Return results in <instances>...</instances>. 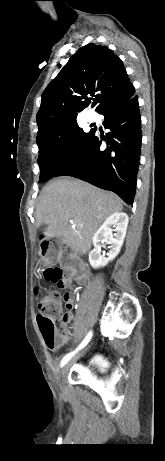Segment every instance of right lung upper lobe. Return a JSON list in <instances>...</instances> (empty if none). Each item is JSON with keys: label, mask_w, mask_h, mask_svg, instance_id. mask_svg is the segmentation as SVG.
<instances>
[{"label": "right lung upper lobe", "mask_w": 165, "mask_h": 461, "mask_svg": "<svg viewBox=\"0 0 165 461\" xmlns=\"http://www.w3.org/2000/svg\"><path fill=\"white\" fill-rule=\"evenodd\" d=\"M123 62L106 46L87 44L80 48L46 87L36 119L37 139L74 120L91 96L100 114L134 96Z\"/></svg>", "instance_id": "cb5924a9"}]
</instances>
